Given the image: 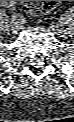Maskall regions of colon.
<instances>
[{
  "label": "colon",
  "instance_id": "colon-1",
  "mask_svg": "<svg viewBox=\"0 0 74 122\" xmlns=\"http://www.w3.org/2000/svg\"><path fill=\"white\" fill-rule=\"evenodd\" d=\"M58 1H22V5L28 12L42 14L53 9Z\"/></svg>",
  "mask_w": 74,
  "mask_h": 122
}]
</instances>
